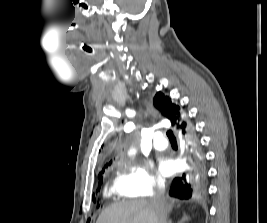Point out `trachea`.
I'll list each match as a JSON object with an SVG mask.
<instances>
[{
  "mask_svg": "<svg viewBox=\"0 0 267 223\" xmlns=\"http://www.w3.org/2000/svg\"><path fill=\"white\" fill-rule=\"evenodd\" d=\"M166 134L171 143L176 142V138L172 130H168Z\"/></svg>",
  "mask_w": 267,
  "mask_h": 223,
  "instance_id": "1",
  "label": "trachea"
}]
</instances>
